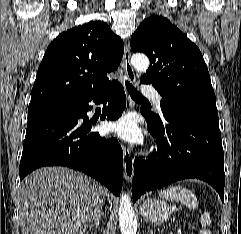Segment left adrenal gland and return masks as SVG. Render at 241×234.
I'll use <instances>...</instances> for the list:
<instances>
[{
  "instance_id": "obj_1",
  "label": "left adrenal gland",
  "mask_w": 241,
  "mask_h": 234,
  "mask_svg": "<svg viewBox=\"0 0 241 234\" xmlns=\"http://www.w3.org/2000/svg\"><path fill=\"white\" fill-rule=\"evenodd\" d=\"M148 232H149V234H154L153 229L149 230Z\"/></svg>"
}]
</instances>
